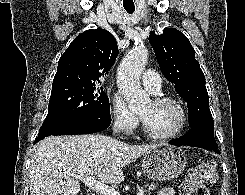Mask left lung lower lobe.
<instances>
[{"label": "left lung lower lobe", "instance_id": "1", "mask_svg": "<svg viewBox=\"0 0 245 195\" xmlns=\"http://www.w3.org/2000/svg\"><path fill=\"white\" fill-rule=\"evenodd\" d=\"M169 143L177 146L187 145L200 147L220 154L214 133L203 128H193L183 137L171 140Z\"/></svg>", "mask_w": 245, "mask_h": 195}]
</instances>
